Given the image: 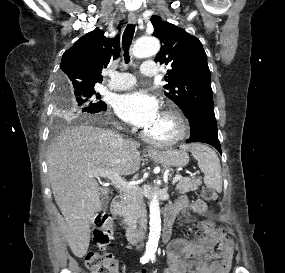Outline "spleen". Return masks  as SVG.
Here are the masks:
<instances>
[{
	"label": "spleen",
	"instance_id": "obj_1",
	"mask_svg": "<svg viewBox=\"0 0 285 273\" xmlns=\"http://www.w3.org/2000/svg\"><path fill=\"white\" fill-rule=\"evenodd\" d=\"M181 148L189 150L193 154L198 162V167L204 173L205 184L217 192H221V165L215 151L203 144L184 145Z\"/></svg>",
	"mask_w": 285,
	"mask_h": 273
}]
</instances>
